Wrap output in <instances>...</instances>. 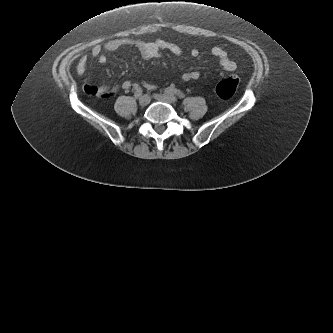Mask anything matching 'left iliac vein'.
<instances>
[{
    "label": "left iliac vein",
    "instance_id": "obj_1",
    "mask_svg": "<svg viewBox=\"0 0 333 333\" xmlns=\"http://www.w3.org/2000/svg\"><path fill=\"white\" fill-rule=\"evenodd\" d=\"M153 97L161 102H166L170 104H174L177 102V98L174 95H168V94H154Z\"/></svg>",
    "mask_w": 333,
    "mask_h": 333
}]
</instances>
